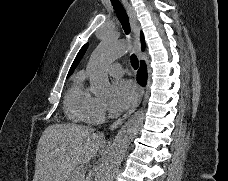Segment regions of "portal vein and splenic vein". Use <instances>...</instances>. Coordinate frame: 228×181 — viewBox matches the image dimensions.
Segmentation results:
<instances>
[{
	"label": "portal vein and splenic vein",
	"mask_w": 228,
	"mask_h": 181,
	"mask_svg": "<svg viewBox=\"0 0 228 181\" xmlns=\"http://www.w3.org/2000/svg\"><path fill=\"white\" fill-rule=\"evenodd\" d=\"M80 177H85V175H80Z\"/></svg>",
	"instance_id": "portal-vein-and-splenic-vein-1"
}]
</instances>
